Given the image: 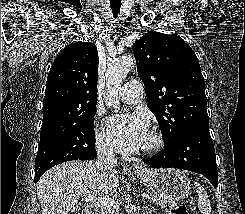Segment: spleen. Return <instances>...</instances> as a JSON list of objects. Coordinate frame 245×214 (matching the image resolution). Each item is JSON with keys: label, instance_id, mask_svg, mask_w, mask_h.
<instances>
[{"label": "spleen", "instance_id": "spleen-1", "mask_svg": "<svg viewBox=\"0 0 245 214\" xmlns=\"http://www.w3.org/2000/svg\"><path fill=\"white\" fill-rule=\"evenodd\" d=\"M196 191L198 193V208L202 214H211V205L209 197L204 188L195 182Z\"/></svg>", "mask_w": 245, "mask_h": 214}]
</instances>
